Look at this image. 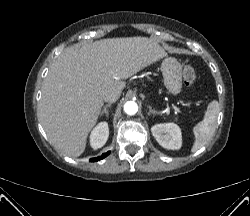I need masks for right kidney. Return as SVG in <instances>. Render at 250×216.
Wrapping results in <instances>:
<instances>
[{
  "label": "right kidney",
  "mask_w": 250,
  "mask_h": 216,
  "mask_svg": "<svg viewBox=\"0 0 250 216\" xmlns=\"http://www.w3.org/2000/svg\"><path fill=\"white\" fill-rule=\"evenodd\" d=\"M109 128L107 122L99 123L91 132L90 145L93 149L101 148L107 142Z\"/></svg>",
  "instance_id": "obj_1"
}]
</instances>
